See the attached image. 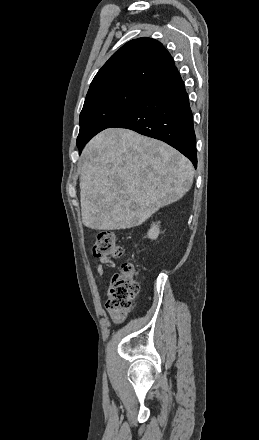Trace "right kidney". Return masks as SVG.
<instances>
[{
  "instance_id": "obj_1",
  "label": "right kidney",
  "mask_w": 259,
  "mask_h": 440,
  "mask_svg": "<svg viewBox=\"0 0 259 440\" xmlns=\"http://www.w3.org/2000/svg\"><path fill=\"white\" fill-rule=\"evenodd\" d=\"M160 234V227H159V222L156 224H153L150 228V230L147 233V237L151 240H155L157 239V237Z\"/></svg>"
}]
</instances>
